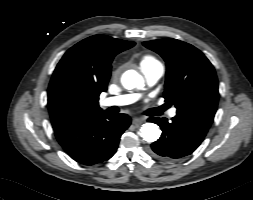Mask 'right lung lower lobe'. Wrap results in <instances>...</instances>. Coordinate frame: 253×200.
Segmentation results:
<instances>
[{
    "instance_id": "98d812e1",
    "label": "right lung lower lobe",
    "mask_w": 253,
    "mask_h": 200,
    "mask_svg": "<svg viewBox=\"0 0 253 200\" xmlns=\"http://www.w3.org/2000/svg\"><path fill=\"white\" fill-rule=\"evenodd\" d=\"M131 119L126 114L106 112L55 130L63 149L75 161L93 165L110 159L116 152L123 132Z\"/></svg>"
}]
</instances>
